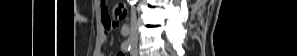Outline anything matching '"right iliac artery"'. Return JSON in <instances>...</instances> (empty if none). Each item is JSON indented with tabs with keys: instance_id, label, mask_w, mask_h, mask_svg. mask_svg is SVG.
Returning a JSON list of instances; mask_svg holds the SVG:
<instances>
[{
	"instance_id": "82829eb1",
	"label": "right iliac artery",
	"mask_w": 297,
	"mask_h": 56,
	"mask_svg": "<svg viewBox=\"0 0 297 56\" xmlns=\"http://www.w3.org/2000/svg\"><path fill=\"white\" fill-rule=\"evenodd\" d=\"M121 48H122V50L127 52V51H130L131 45H130V43L128 41H124L121 44Z\"/></svg>"
}]
</instances>
